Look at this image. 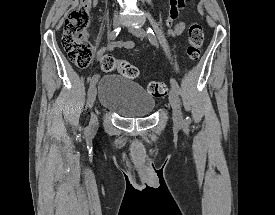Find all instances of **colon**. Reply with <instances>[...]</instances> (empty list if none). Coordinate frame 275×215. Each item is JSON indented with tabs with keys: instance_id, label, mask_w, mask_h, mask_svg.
Here are the masks:
<instances>
[{
	"instance_id": "5ec220e1",
	"label": "colon",
	"mask_w": 275,
	"mask_h": 215,
	"mask_svg": "<svg viewBox=\"0 0 275 215\" xmlns=\"http://www.w3.org/2000/svg\"><path fill=\"white\" fill-rule=\"evenodd\" d=\"M92 1L79 0L69 12L63 25L62 45L71 61L80 67H86L92 61V49L86 33ZM203 41L202 25L198 22L191 23L188 28L186 45V56L189 61L195 62L199 59ZM100 66L104 72L110 73L117 70L128 79L139 77L137 67L127 60L117 59L109 54L103 56ZM146 88L148 93L155 98L164 97L168 93L166 84L160 81H150Z\"/></svg>"
}]
</instances>
